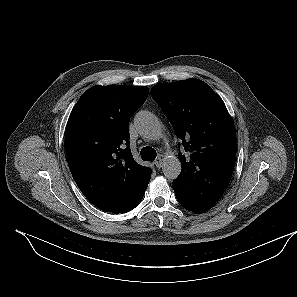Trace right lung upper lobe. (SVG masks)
Masks as SVG:
<instances>
[{
    "mask_svg": "<svg viewBox=\"0 0 297 297\" xmlns=\"http://www.w3.org/2000/svg\"><path fill=\"white\" fill-rule=\"evenodd\" d=\"M148 91L146 86H93L68 119L70 171L84 196L105 212L123 213L148 185L152 170L134 161L129 145V119Z\"/></svg>",
    "mask_w": 297,
    "mask_h": 297,
    "instance_id": "cb5924a9",
    "label": "right lung upper lobe"
}]
</instances>
